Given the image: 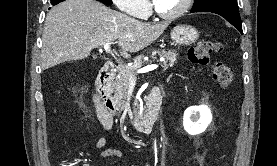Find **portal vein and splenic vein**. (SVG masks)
<instances>
[{
  "instance_id": "obj_1",
  "label": "portal vein and splenic vein",
  "mask_w": 277,
  "mask_h": 166,
  "mask_svg": "<svg viewBox=\"0 0 277 166\" xmlns=\"http://www.w3.org/2000/svg\"><path fill=\"white\" fill-rule=\"evenodd\" d=\"M110 45H111V43H106L104 45V49H105L106 52H110L111 51ZM157 68H158V65L152 64V65H148V66H146V67H144L142 69H139L137 72L138 73H143V72L151 71V70H154V69H157Z\"/></svg>"
}]
</instances>
